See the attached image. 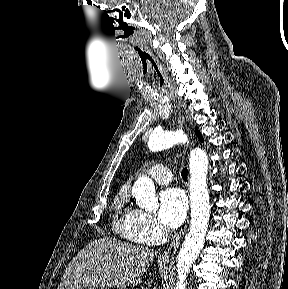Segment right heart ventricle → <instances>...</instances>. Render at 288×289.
I'll list each match as a JSON object with an SVG mask.
<instances>
[{"instance_id":"1","label":"right heart ventricle","mask_w":288,"mask_h":289,"mask_svg":"<svg viewBox=\"0 0 288 289\" xmlns=\"http://www.w3.org/2000/svg\"><path fill=\"white\" fill-rule=\"evenodd\" d=\"M115 210L114 228L116 232L123 237L139 242L129 226L135 210L128 204V194L125 189L120 190L115 198Z\"/></svg>"}]
</instances>
